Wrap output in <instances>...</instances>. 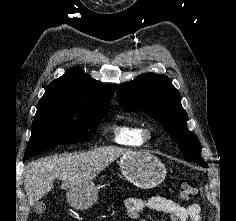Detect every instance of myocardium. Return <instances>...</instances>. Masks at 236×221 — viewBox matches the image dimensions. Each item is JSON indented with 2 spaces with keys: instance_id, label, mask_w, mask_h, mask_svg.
Returning <instances> with one entry per match:
<instances>
[{
  "instance_id": "1",
  "label": "myocardium",
  "mask_w": 236,
  "mask_h": 221,
  "mask_svg": "<svg viewBox=\"0 0 236 221\" xmlns=\"http://www.w3.org/2000/svg\"><path fill=\"white\" fill-rule=\"evenodd\" d=\"M154 135V129L151 127H147L144 129V137L145 139H151Z\"/></svg>"
}]
</instances>
